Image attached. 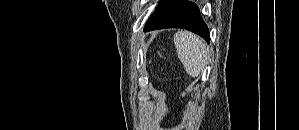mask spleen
I'll list each match as a JSON object with an SVG mask.
<instances>
[{
	"label": "spleen",
	"mask_w": 299,
	"mask_h": 130,
	"mask_svg": "<svg viewBox=\"0 0 299 130\" xmlns=\"http://www.w3.org/2000/svg\"><path fill=\"white\" fill-rule=\"evenodd\" d=\"M174 44L186 72L193 78L198 77L207 62L206 45L197 35L187 31L177 32L174 35Z\"/></svg>",
	"instance_id": "1"
}]
</instances>
